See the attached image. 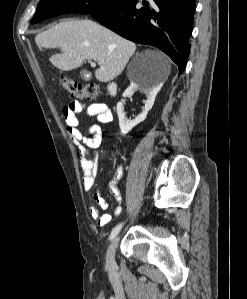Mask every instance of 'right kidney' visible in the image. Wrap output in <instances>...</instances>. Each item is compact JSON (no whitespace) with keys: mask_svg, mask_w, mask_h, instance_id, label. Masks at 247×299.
Masks as SVG:
<instances>
[{"mask_svg":"<svg viewBox=\"0 0 247 299\" xmlns=\"http://www.w3.org/2000/svg\"><path fill=\"white\" fill-rule=\"evenodd\" d=\"M162 87V83L157 85H144L141 87L142 91L145 93L147 100L145 101V107L141 114H139L135 119H127L124 112V106L122 102H119L117 104V114L119 118V127L121 130V133L123 135L127 134L129 131H131L137 124L143 122L148 112L151 110L155 97L158 94ZM140 88V84L132 81L130 83V86L124 91L123 98H126L128 96H131L134 94L135 91H137Z\"/></svg>","mask_w":247,"mask_h":299,"instance_id":"right-kidney-1","label":"right kidney"}]
</instances>
